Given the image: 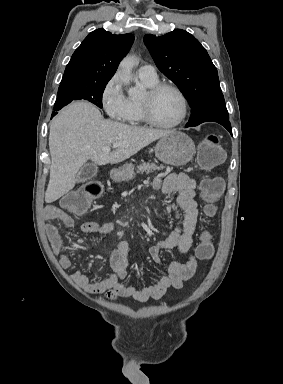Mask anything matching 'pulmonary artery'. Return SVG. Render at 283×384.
Returning a JSON list of instances; mask_svg holds the SVG:
<instances>
[{"label":"pulmonary artery","instance_id":"1","mask_svg":"<svg viewBox=\"0 0 283 384\" xmlns=\"http://www.w3.org/2000/svg\"><path fill=\"white\" fill-rule=\"evenodd\" d=\"M137 75L141 80L147 82L158 81V75L151 65H143L137 69Z\"/></svg>","mask_w":283,"mask_h":384}]
</instances>
